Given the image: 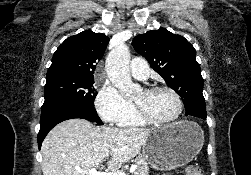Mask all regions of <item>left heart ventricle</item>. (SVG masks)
I'll return each mask as SVG.
<instances>
[{
  "label": "left heart ventricle",
  "instance_id": "obj_1",
  "mask_svg": "<svg viewBox=\"0 0 251 175\" xmlns=\"http://www.w3.org/2000/svg\"><path fill=\"white\" fill-rule=\"evenodd\" d=\"M136 107L160 121L174 120L179 113L174 95L166 90H141L135 97Z\"/></svg>",
  "mask_w": 251,
  "mask_h": 175
}]
</instances>
